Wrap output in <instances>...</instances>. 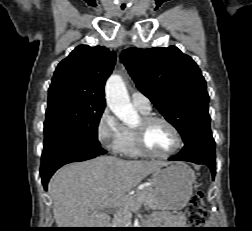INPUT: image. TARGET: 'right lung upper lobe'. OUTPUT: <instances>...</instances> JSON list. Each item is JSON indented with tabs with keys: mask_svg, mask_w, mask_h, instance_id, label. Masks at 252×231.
I'll return each instance as SVG.
<instances>
[{
	"mask_svg": "<svg viewBox=\"0 0 252 231\" xmlns=\"http://www.w3.org/2000/svg\"><path fill=\"white\" fill-rule=\"evenodd\" d=\"M115 59V52L105 47H76L58 64L49 87V99L65 97L105 105L104 85Z\"/></svg>",
	"mask_w": 252,
	"mask_h": 231,
	"instance_id": "cb5924a9",
	"label": "right lung upper lobe"
}]
</instances>
